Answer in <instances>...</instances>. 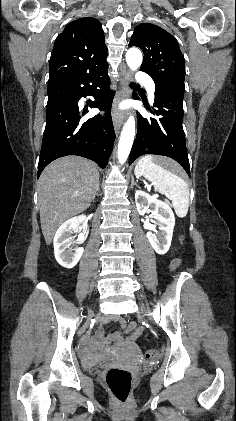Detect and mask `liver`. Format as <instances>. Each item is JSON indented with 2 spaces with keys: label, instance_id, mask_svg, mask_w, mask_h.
Wrapping results in <instances>:
<instances>
[{
  "label": "liver",
  "instance_id": "obj_1",
  "mask_svg": "<svg viewBox=\"0 0 236 421\" xmlns=\"http://www.w3.org/2000/svg\"><path fill=\"white\" fill-rule=\"evenodd\" d=\"M158 162H169L156 156ZM95 162L82 156H61L44 168L38 180L40 223L47 245L67 219L86 211L97 190ZM73 194H77L74 196Z\"/></svg>",
  "mask_w": 236,
  "mask_h": 421
}]
</instances>
